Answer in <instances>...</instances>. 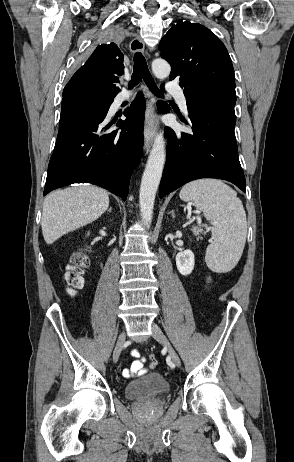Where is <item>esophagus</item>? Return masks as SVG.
<instances>
[{"mask_svg":"<svg viewBox=\"0 0 294 462\" xmlns=\"http://www.w3.org/2000/svg\"><path fill=\"white\" fill-rule=\"evenodd\" d=\"M129 47H130L131 53L133 54L137 52L143 53L145 49V44H144V41L140 37H135L130 42ZM153 112H154V98L150 93H148V102H147V109H146V114H145V126H144V147L147 152L150 150V147L152 145V142L155 136Z\"/></svg>","mask_w":294,"mask_h":462,"instance_id":"esophagus-1","label":"esophagus"}]
</instances>
